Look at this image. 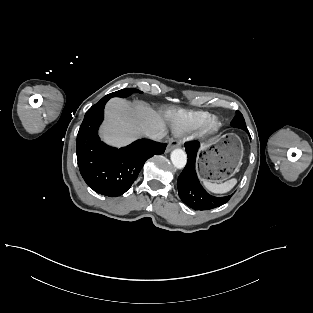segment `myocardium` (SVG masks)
I'll use <instances>...</instances> for the list:
<instances>
[{
    "mask_svg": "<svg viewBox=\"0 0 313 313\" xmlns=\"http://www.w3.org/2000/svg\"><path fill=\"white\" fill-rule=\"evenodd\" d=\"M221 126V122L217 117H211L203 124L200 135L203 137L216 133Z\"/></svg>",
    "mask_w": 313,
    "mask_h": 313,
    "instance_id": "f54148a6",
    "label": "myocardium"
}]
</instances>
